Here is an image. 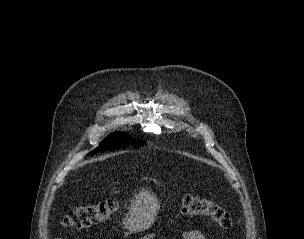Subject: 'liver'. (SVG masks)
Masks as SVG:
<instances>
[{"mask_svg": "<svg viewBox=\"0 0 304 239\" xmlns=\"http://www.w3.org/2000/svg\"><path fill=\"white\" fill-rule=\"evenodd\" d=\"M160 209V203L157 196L148 190L142 188L135 198L131 201L123 225L130 232H140L148 229L156 220Z\"/></svg>", "mask_w": 304, "mask_h": 239, "instance_id": "liver-1", "label": "liver"}]
</instances>
